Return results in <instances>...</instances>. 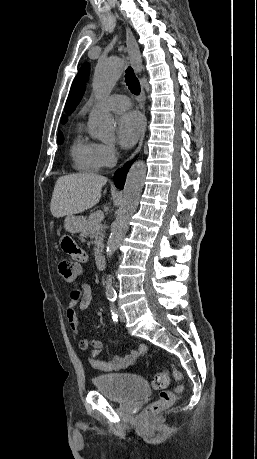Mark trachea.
<instances>
[{
	"instance_id": "3493384b",
	"label": "trachea",
	"mask_w": 257,
	"mask_h": 459,
	"mask_svg": "<svg viewBox=\"0 0 257 459\" xmlns=\"http://www.w3.org/2000/svg\"><path fill=\"white\" fill-rule=\"evenodd\" d=\"M125 77H126L125 82L128 85L130 91L135 95H139L140 94V83L138 79L136 78L134 71L131 67H128V69L126 70Z\"/></svg>"
}]
</instances>
